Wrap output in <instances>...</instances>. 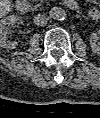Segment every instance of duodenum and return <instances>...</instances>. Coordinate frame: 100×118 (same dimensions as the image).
Returning <instances> with one entry per match:
<instances>
[{
    "label": "duodenum",
    "instance_id": "1",
    "mask_svg": "<svg viewBox=\"0 0 100 118\" xmlns=\"http://www.w3.org/2000/svg\"><path fill=\"white\" fill-rule=\"evenodd\" d=\"M65 4L73 10L78 8V4L75 0H65ZM15 10L20 15L26 14L29 10L28 3L25 0H17L15 3Z\"/></svg>",
    "mask_w": 100,
    "mask_h": 118
}]
</instances>
